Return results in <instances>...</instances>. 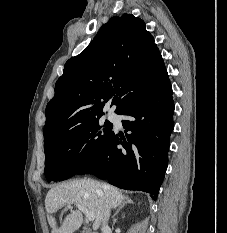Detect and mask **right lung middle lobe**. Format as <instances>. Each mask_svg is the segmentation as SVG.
Listing matches in <instances>:
<instances>
[{
    "label": "right lung middle lobe",
    "mask_w": 227,
    "mask_h": 233,
    "mask_svg": "<svg viewBox=\"0 0 227 233\" xmlns=\"http://www.w3.org/2000/svg\"><path fill=\"white\" fill-rule=\"evenodd\" d=\"M112 124L99 118L84 123L44 145L48 182L62 181L90 164L112 134Z\"/></svg>",
    "instance_id": "1"
}]
</instances>
